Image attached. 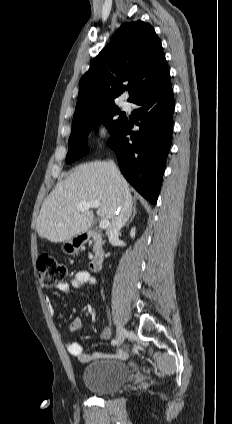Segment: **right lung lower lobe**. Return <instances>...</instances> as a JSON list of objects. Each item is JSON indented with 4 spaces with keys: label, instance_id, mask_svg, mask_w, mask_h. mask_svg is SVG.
Wrapping results in <instances>:
<instances>
[{
    "label": "right lung lower lobe",
    "instance_id": "right-lung-lower-lobe-1",
    "mask_svg": "<svg viewBox=\"0 0 232 424\" xmlns=\"http://www.w3.org/2000/svg\"><path fill=\"white\" fill-rule=\"evenodd\" d=\"M133 103L140 106L136 111V119L141 121L139 131L132 132L127 121L110 137L108 146L115 151L128 182L156 204L173 130L174 98L169 71Z\"/></svg>",
    "mask_w": 232,
    "mask_h": 424
}]
</instances>
